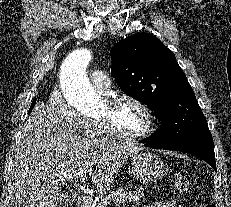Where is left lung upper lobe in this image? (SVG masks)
Listing matches in <instances>:
<instances>
[{"label":"left lung upper lobe","instance_id":"left-lung-upper-lobe-1","mask_svg":"<svg viewBox=\"0 0 231 207\" xmlns=\"http://www.w3.org/2000/svg\"><path fill=\"white\" fill-rule=\"evenodd\" d=\"M111 73L120 88L143 102L161 121L146 140L160 147L213 144L212 135L186 75L174 53L156 37L139 33L110 51Z\"/></svg>","mask_w":231,"mask_h":207}]
</instances>
